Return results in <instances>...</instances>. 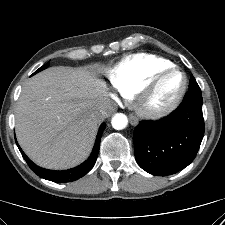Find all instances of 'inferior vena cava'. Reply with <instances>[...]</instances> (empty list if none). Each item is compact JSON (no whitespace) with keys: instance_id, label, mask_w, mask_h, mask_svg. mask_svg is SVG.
<instances>
[{"instance_id":"602c4592","label":"inferior vena cava","mask_w":225,"mask_h":225,"mask_svg":"<svg viewBox=\"0 0 225 225\" xmlns=\"http://www.w3.org/2000/svg\"><path fill=\"white\" fill-rule=\"evenodd\" d=\"M114 110V104L110 100H105L101 106L100 109L96 112L95 117L98 122L103 121L106 119Z\"/></svg>"}]
</instances>
